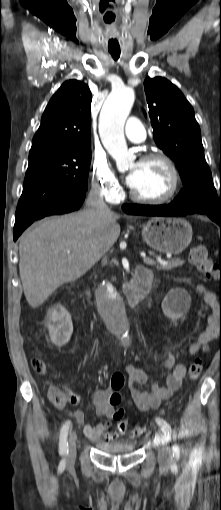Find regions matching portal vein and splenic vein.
Instances as JSON below:
<instances>
[{
	"label": "portal vein and splenic vein",
	"instance_id": "obj_1",
	"mask_svg": "<svg viewBox=\"0 0 221 510\" xmlns=\"http://www.w3.org/2000/svg\"><path fill=\"white\" fill-rule=\"evenodd\" d=\"M68 253H69V252H68ZM141 257H142L143 262H144L145 264H148V265H153V264H155V261H154L153 259L146 257L144 254H141ZM158 261H159L160 263H162V264H167V262H162V261H161V259H158Z\"/></svg>",
	"mask_w": 221,
	"mask_h": 510
}]
</instances>
